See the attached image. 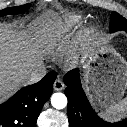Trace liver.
<instances>
[{
  "instance_id": "liver-1",
  "label": "liver",
  "mask_w": 127,
  "mask_h": 127,
  "mask_svg": "<svg viewBox=\"0 0 127 127\" xmlns=\"http://www.w3.org/2000/svg\"><path fill=\"white\" fill-rule=\"evenodd\" d=\"M53 14L40 22L44 30L54 25ZM42 45L25 30L0 23V103L29 84L31 72L42 64ZM74 50H72L73 53Z\"/></svg>"
}]
</instances>
